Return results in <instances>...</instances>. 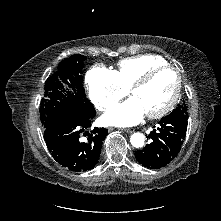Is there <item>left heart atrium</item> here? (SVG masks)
<instances>
[{
  "label": "left heart atrium",
  "instance_id": "1",
  "mask_svg": "<svg viewBox=\"0 0 221 221\" xmlns=\"http://www.w3.org/2000/svg\"><path fill=\"white\" fill-rule=\"evenodd\" d=\"M145 111L140 102L131 97L125 102L111 107L103 116L108 125L131 126L137 124L144 116Z\"/></svg>",
  "mask_w": 221,
  "mask_h": 221
}]
</instances>
